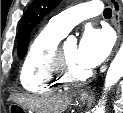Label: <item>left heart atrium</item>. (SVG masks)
Returning a JSON list of instances; mask_svg holds the SVG:
<instances>
[{
    "label": "left heart atrium",
    "instance_id": "39dd6f15",
    "mask_svg": "<svg viewBox=\"0 0 123 113\" xmlns=\"http://www.w3.org/2000/svg\"><path fill=\"white\" fill-rule=\"evenodd\" d=\"M112 39L106 30L88 28L77 47V61L86 69L101 64L109 55Z\"/></svg>",
    "mask_w": 123,
    "mask_h": 113
}]
</instances>
